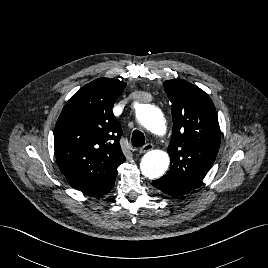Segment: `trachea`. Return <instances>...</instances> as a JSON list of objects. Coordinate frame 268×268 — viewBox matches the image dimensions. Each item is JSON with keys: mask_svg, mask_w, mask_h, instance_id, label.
<instances>
[{"mask_svg": "<svg viewBox=\"0 0 268 268\" xmlns=\"http://www.w3.org/2000/svg\"><path fill=\"white\" fill-rule=\"evenodd\" d=\"M145 144V136L139 130H134L132 133V146L139 148Z\"/></svg>", "mask_w": 268, "mask_h": 268, "instance_id": "trachea-1", "label": "trachea"}]
</instances>
